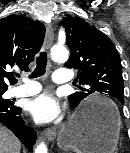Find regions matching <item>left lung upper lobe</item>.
Here are the masks:
<instances>
[{
	"label": "left lung upper lobe",
	"instance_id": "5c2ea615",
	"mask_svg": "<svg viewBox=\"0 0 130 153\" xmlns=\"http://www.w3.org/2000/svg\"><path fill=\"white\" fill-rule=\"evenodd\" d=\"M65 28L71 50L65 67L78 70L83 87L68 97L77 106L92 93L107 94L124 103V83L118 51L108 36L77 16H67L60 23Z\"/></svg>",
	"mask_w": 130,
	"mask_h": 153
}]
</instances>
